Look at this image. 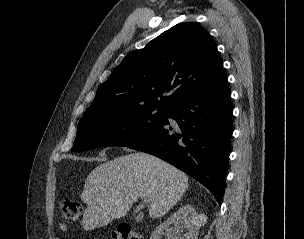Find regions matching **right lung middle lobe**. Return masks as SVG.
<instances>
[{"instance_id":"right-lung-middle-lobe-1","label":"right lung middle lobe","mask_w":304,"mask_h":239,"mask_svg":"<svg viewBox=\"0 0 304 239\" xmlns=\"http://www.w3.org/2000/svg\"><path fill=\"white\" fill-rule=\"evenodd\" d=\"M166 108L151 105L121 107L82 118L72 152L103 146H128L162 123Z\"/></svg>"}]
</instances>
